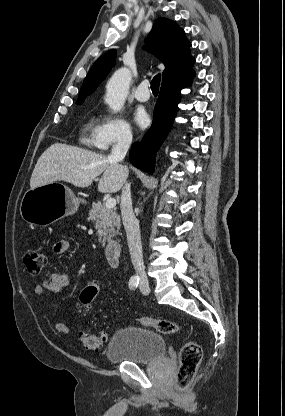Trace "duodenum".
I'll use <instances>...</instances> for the list:
<instances>
[{
  "label": "duodenum",
  "instance_id": "1",
  "mask_svg": "<svg viewBox=\"0 0 285 416\" xmlns=\"http://www.w3.org/2000/svg\"><path fill=\"white\" fill-rule=\"evenodd\" d=\"M104 254L111 268H117L120 263L121 245L117 241L109 242L104 248Z\"/></svg>",
  "mask_w": 285,
  "mask_h": 416
}]
</instances>
